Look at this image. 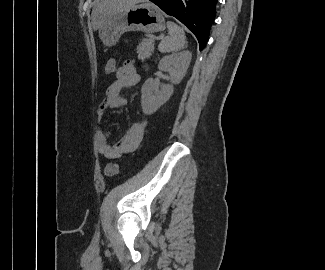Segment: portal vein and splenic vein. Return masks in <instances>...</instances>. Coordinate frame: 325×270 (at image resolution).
Wrapping results in <instances>:
<instances>
[{
  "instance_id": "portal-vein-and-splenic-vein-1",
  "label": "portal vein and splenic vein",
  "mask_w": 325,
  "mask_h": 270,
  "mask_svg": "<svg viewBox=\"0 0 325 270\" xmlns=\"http://www.w3.org/2000/svg\"><path fill=\"white\" fill-rule=\"evenodd\" d=\"M151 42L153 43L154 42V39H151Z\"/></svg>"
}]
</instances>
